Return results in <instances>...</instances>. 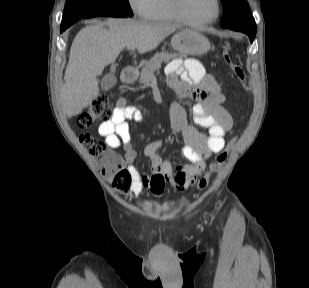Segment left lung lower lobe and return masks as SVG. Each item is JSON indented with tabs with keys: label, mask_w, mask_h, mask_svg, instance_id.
<instances>
[{
	"label": "left lung lower lobe",
	"mask_w": 309,
	"mask_h": 288,
	"mask_svg": "<svg viewBox=\"0 0 309 288\" xmlns=\"http://www.w3.org/2000/svg\"><path fill=\"white\" fill-rule=\"evenodd\" d=\"M222 27L246 33L249 36L251 43L253 42L256 35V24L253 17L240 20L229 26Z\"/></svg>",
	"instance_id": "obj_1"
}]
</instances>
